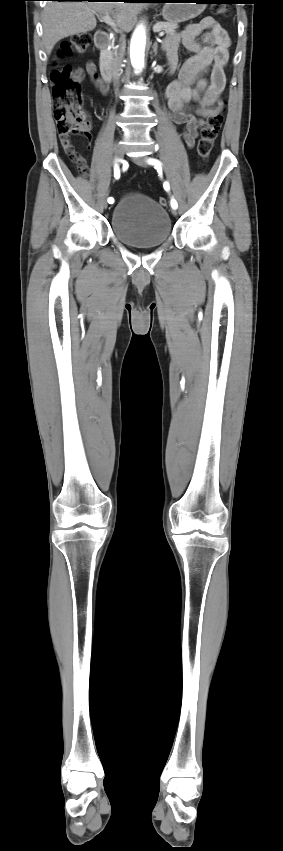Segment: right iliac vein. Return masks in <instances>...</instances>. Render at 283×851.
Listing matches in <instances>:
<instances>
[{
	"instance_id": "right-iliac-vein-1",
	"label": "right iliac vein",
	"mask_w": 283,
	"mask_h": 851,
	"mask_svg": "<svg viewBox=\"0 0 283 851\" xmlns=\"http://www.w3.org/2000/svg\"><path fill=\"white\" fill-rule=\"evenodd\" d=\"M115 157H116V161H117V163H118V164H119V163L122 161V159H123V149H122V147H120L119 145H117V146H116V149H115ZM106 197H107V195H106ZM103 206H104V208H105V209H106V208H107V206H108V203H107V200H106V199H105V200H104V202H103Z\"/></svg>"
}]
</instances>
